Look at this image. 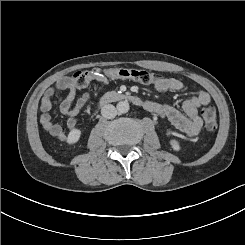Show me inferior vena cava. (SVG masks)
I'll list each match as a JSON object with an SVG mask.
<instances>
[{"mask_svg": "<svg viewBox=\"0 0 245 245\" xmlns=\"http://www.w3.org/2000/svg\"><path fill=\"white\" fill-rule=\"evenodd\" d=\"M101 114L104 118L113 119L117 115V110H116L115 106H113L111 104H107V105L102 107Z\"/></svg>", "mask_w": 245, "mask_h": 245, "instance_id": "inferior-vena-cava-1", "label": "inferior vena cava"}]
</instances>
